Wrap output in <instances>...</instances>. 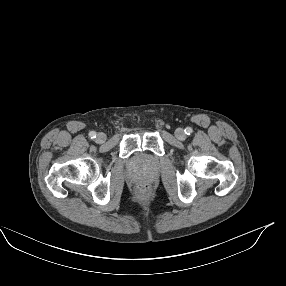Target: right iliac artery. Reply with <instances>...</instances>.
Here are the masks:
<instances>
[{
    "instance_id": "right-iliac-artery-1",
    "label": "right iliac artery",
    "mask_w": 286,
    "mask_h": 286,
    "mask_svg": "<svg viewBox=\"0 0 286 286\" xmlns=\"http://www.w3.org/2000/svg\"><path fill=\"white\" fill-rule=\"evenodd\" d=\"M89 137H90L91 139L96 138V132L91 131V132L89 133Z\"/></svg>"
}]
</instances>
